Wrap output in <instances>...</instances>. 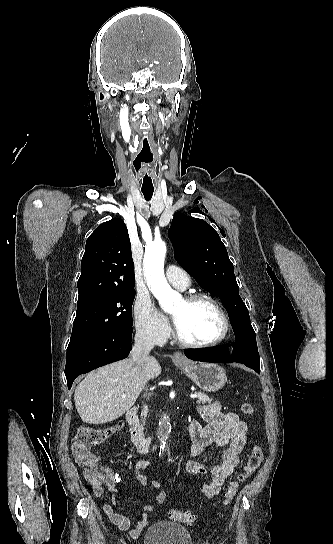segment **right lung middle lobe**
<instances>
[{
  "label": "right lung middle lobe",
  "instance_id": "dd1d6c3e",
  "mask_svg": "<svg viewBox=\"0 0 333 544\" xmlns=\"http://www.w3.org/2000/svg\"><path fill=\"white\" fill-rule=\"evenodd\" d=\"M134 298L135 290H116L78 301L67 355L131 327Z\"/></svg>",
  "mask_w": 333,
  "mask_h": 544
}]
</instances>
